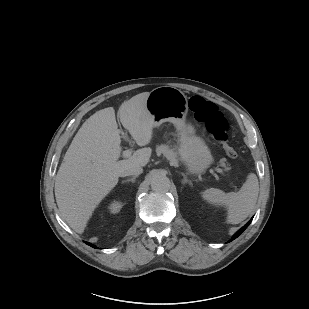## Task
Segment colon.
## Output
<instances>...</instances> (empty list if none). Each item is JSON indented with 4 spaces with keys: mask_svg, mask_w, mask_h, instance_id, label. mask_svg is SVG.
<instances>
[{
    "mask_svg": "<svg viewBox=\"0 0 309 309\" xmlns=\"http://www.w3.org/2000/svg\"><path fill=\"white\" fill-rule=\"evenodd\" d=\"M189 109L206 131L223 145L226 155L236 158L237 151L228 138V122L220 108L201 96H193L189 100Z\"/></svg>",
    "mask_w": 309,
    "mask_h": 309,
    "instance_id": "obj_1",
    "label": "colon"
}]
</instances>
